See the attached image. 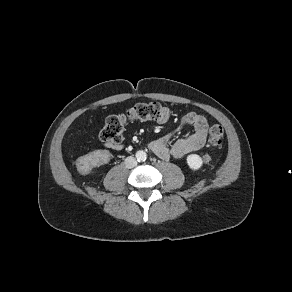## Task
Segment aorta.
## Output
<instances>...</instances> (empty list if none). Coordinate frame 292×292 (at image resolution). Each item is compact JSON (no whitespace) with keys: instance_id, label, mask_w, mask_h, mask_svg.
Here are the masks:
<instances>
[{"instance_id":"1","label":"aorta","mask_w":292,"mask_h":292,"mask_svg":"<svg viewBox=\"0 0 292 292\" xmlns=\"http://www.w3.org/2000/svg\"><path fill=\"white\" fill-rule=\"evenodd\" d=\"M136 158L137 160L140 162V161H145L146 158H147V154L145 151L143 150H139L136 152Z\"/></svg>"}]
</instances>
